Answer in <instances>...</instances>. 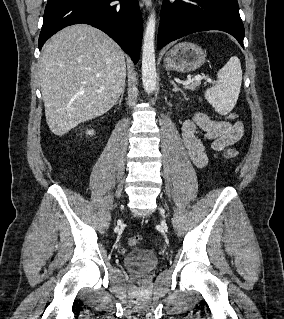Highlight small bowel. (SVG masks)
I'll list each match as a JSON object with an SVG mask.
<instances>
[{
	"label": "small bowel",
	"instance_id": "obj_1",
	"mask_svg": "<svg viewBox=\"0 0 284 319\" xmlns=\"http://www.w3.org/2000/svg\"><path fill=\"white\" fill-rule=\"evenodd\" d=\"M181 135L190 159L196 166L203 167L208 163L203 141H210L213 150L223 151L241 139L243 124L214 120L199 112L183 122Z\"/></svg>",
	"mask_w": 284,
	"mask_h": 319
}]
</instances>
